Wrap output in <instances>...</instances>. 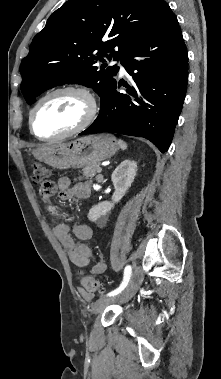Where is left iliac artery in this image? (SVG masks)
<instances>
[{"mask_svg":"<svg viewBox=\"0 0 221 379\" xmlns=\"http://www.w3.org/2000/svg\"><path fill=\"white\" fill-rule=\"evenodd\" d=\"M131 274H132V268L130 265H128L125 267L124 278H123V281L120 284V286L117 289L113 290L112 292H109L107 294V296H109V297L115 296V295L119 294L122 290H124V288L127 286L128 282L130 280Z\"/></svg>","mask_w":221,"mask_h":379,"instance_id":"1","label":"left iliac artery"}]
</instances>
